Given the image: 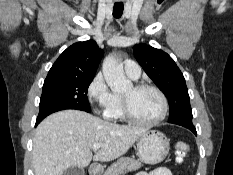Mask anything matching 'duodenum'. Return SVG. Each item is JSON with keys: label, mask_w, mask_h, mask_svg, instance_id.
I'll list each match as a JSON object with an SVG mask.
<instances>
[{"label": "duodenum", "mask_w": 233, "mask_h": 175, "mask_svg": "<svg viewBox=\"0 0 233 175\" xmlns=\"http://www.w3.org/2000/svg\"><path fill=\"white\" fill-rule=\"evenodd\" d=\"M89 173L90 175H98L99 174V169L96 165H91L89 168Z\"/></svg>", "instance_id": "obj_1"}]
</instances>
